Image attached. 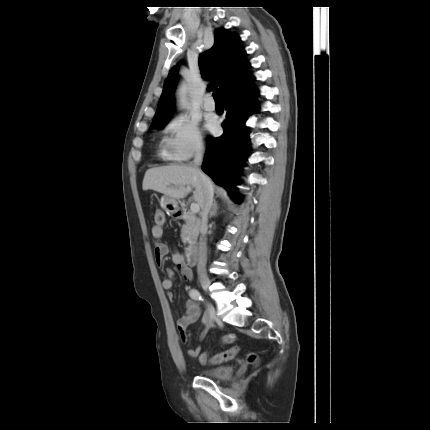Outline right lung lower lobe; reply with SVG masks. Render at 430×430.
I'll return each instance as SVG.
<instances>
[{
  "label": "right lung lower lobe",
  "instance_id": "98d812e1",
  "mask_svg": "<svg viewBox=\"0 0 430 430\" xmlns=\"http://www.w3.org/2000/svg\"><path fill=\"white\" fill-rule=\"evenodd\" d=\"M254 80L253 76H249L227 92V114L222 123L224 133L219 138L209 140L202 165L203 171L224 187L236 203L242 202V196L234 185L249 148L245 122L260 109L257 103L259 91L253 85Z\"/></svg>",
  "mask_w": 430,
  "mask_h": 430
}]
</instances>
